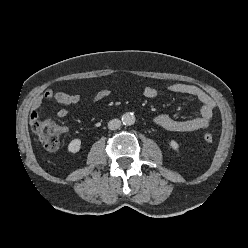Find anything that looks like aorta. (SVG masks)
Returning a JSON list of instances; mask_svg holds the SVG:
<instances>
[{
    "mask_svg": "<svg viewBox=\"0 0 248 248\" xmlns=\"http://www.w3.org/2000/svg\"><path fill=\"white\" fill-rule=\"evenodd\" d=\"M122 123L126 126H131L135 123V115L131 112H126L122 115Z\"/></svg>",
    "mask_w": 248,
    "mask_h": 248,
    "instance_id": "1",
    "label": "aorta"
}]
</instances>
